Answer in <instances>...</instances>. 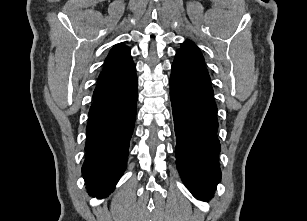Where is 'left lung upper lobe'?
<instances>
[{
    "instance_id": "obj_1",
    "label": "left lung upper lobe",
    "mask_w": 307,
    "mask_h": 221,
    "mask_svg": "<svg viewBox=\"0 0 307 221\" xmlns=\"http://www.w3.org/2000/svg\"><path fill=\"white\" fill-rule=\"evenodd\" d=\"M178 52L186 54L188 57H190L205 68L204 58L198 47L193 42L189 40L184 42L183 44H181V48L178 50Z\"/></svg>"
}]
</instances>
